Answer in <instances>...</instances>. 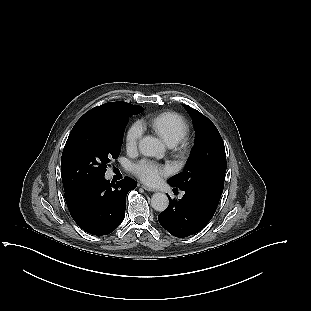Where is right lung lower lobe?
Wrapping results in <instances>:
<instances>
[{
  "label": "right lung lower lobe",
  "instance_id": "right-lung-lower-lobe-1",
  "mask_svg": "<svg viewBox=\"0 0 311 311\" xmlns=\"http://www.w3.org/2000/svg\"><path fill=\"white\" fill-rule=\"evenodd\" d=\"M113 185L105 179H99L65 192L71 216L85 231L94 235H106L122 222L126 196L137 186V182L125 177Z\"/></svg>",
  "mask_w": 311,
  "mask_h": 311
}]
</instances>
